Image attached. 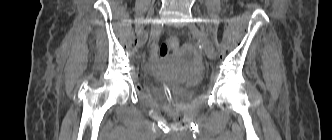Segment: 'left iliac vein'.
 Masks as SVG:
<instances>
[{
	"label": "left iliac vein",
	"instance_id": "obj_1",
	"mask_svg": "<svg viewBox=\"0 0 332 140\" xmlns=\"http://www.w3.org/2000/svg\"><path fill=\"white\" fill-rule=\"evenodd\" d=\"M189 28H190L191 32L197 37L199 43L202 45L207 57L210 60H213L215 58V53L209 43V40H208L205 32L198 29L195 24H190Z\"/></svg>",
	"mask_w": 332,
	"mask_h": 140
}]
</instances>
